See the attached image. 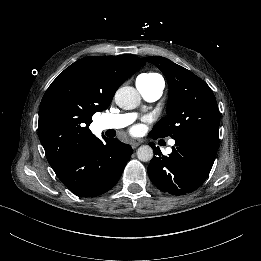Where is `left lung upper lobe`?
<instances>
[{"label": "left lung upper lobe", "instance_id": "1", "mask_svg": "<svg viewBox=\"0 0 261 261\" xmlns=\"http://www.w3.org/2000/svg\"><path fill=\"white\" fill-rule=\"evenodd\" d=\"M144 59L162 71L169 86L167 116L153 127L150 135L179 140L202 134L219 140L220 114L210 87L194 73L167 58L150 56Z\"/></svg>", "mask_w": 261, "mask_h": 261}]
</instances>
